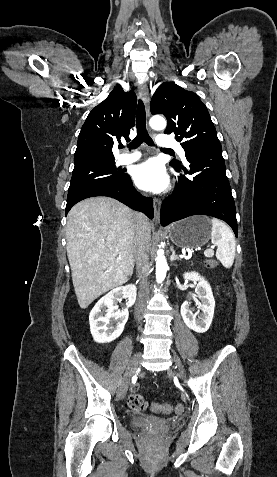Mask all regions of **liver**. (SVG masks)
Listing matches in <instances>:
<instances>
[{"mask_svg":"<svg viewBox=\"0 0 277 477\" xmlns=\"http://www.w3.org/2000/svg\"><path fill=\"white\" fill-rule=\"evenodd\" d=\"M135 221L134 211L109 197L83 200L69 211L67 256L82 309L132 276Z\"/></svg>","mask_w":277,"mask_h":477,"instance_id":"liver-1","label":"liver"}]
</instances>
